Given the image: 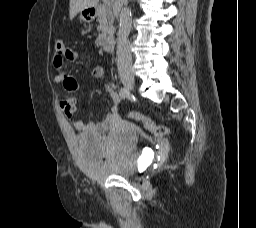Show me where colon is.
Here are the masks:
<instances>
[{
    "instance_id": "obj_1",
    "label": "colon",
    "mask_w": 256,
    "mask_h": 228,
    "mask_svg": "<svg viewBox=\"0 0 256 228\" xmlns=\"http://www.w3.org/2000/svg\"><path fill=\"white\" fill-rule=\"evenodd\" d=\"M55 54L59 59H62L66 56L69 47L67 46L66 42L62 39H57L54 45ZM131 119L141 123L143 127L148 130L149 132L157 135V136H164L168 134L169 130L166 126L156 123L150 118H147L142 113L138 111H131L129 113Z\"/></svg>"
}]
</instances>
